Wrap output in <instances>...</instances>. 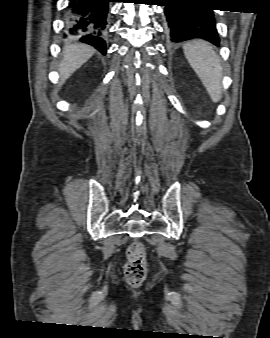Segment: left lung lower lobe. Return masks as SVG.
<instances>
[{"mask_svg":"<svg viewBox=\"0 0 270 338\" xmlns=\"http://www.w3.org/2000/svg\"><path fill=\"white\" fill-rule=\"evenodd\" d=\"M198 0H163L168 40L178 43L190 39H203L218 46L214 14L211 7H200Z\"/></svg>","mask_w":270,"mask_h":338,"instance_id":"obj_1","label":"left lung lower lobe"}]
</instances>
